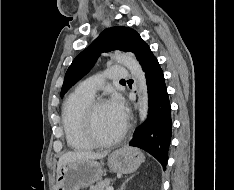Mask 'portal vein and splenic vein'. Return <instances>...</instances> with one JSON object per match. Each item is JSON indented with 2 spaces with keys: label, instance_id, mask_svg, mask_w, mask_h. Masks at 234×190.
<instances>
[{
  "label": "portal vein and splenic vein",
  "instance_id": "18ae733b",
  "mask_svg": "<svg viewBox=\"0 0 234 190\" xmlns=\"http://www.w3.org/2000/svg\"><path fill=\"white\" fill-rule=\"evenodd\" d=\"M106 190H114L113 187L109 186L106 188Z\"/></svg>",
  "mask_w": 234,
  "mask_h": 190
}]
</instances>
